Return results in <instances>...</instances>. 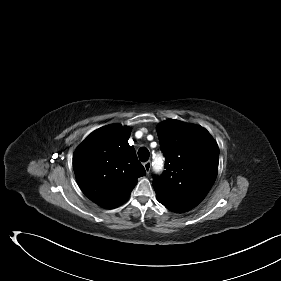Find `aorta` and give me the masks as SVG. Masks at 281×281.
<instances>
[{
    "mask_svg": "<svg viewBox=\"0 0 281 281\" xmlns=\"http://www.w3.org/2000/svg\"><path fill=\"white\" fill-rule=\"evenodd\" d=\"M153 163H154V170H155L156 172L162 170V168H163V162H162V159H161L160 157H159V158H156Z\"/></svg>",
    "mask_w": 281,
    "mask_h": 281,
    "instance_id": "1",
    "label": "aorta"
}]
</instances>
